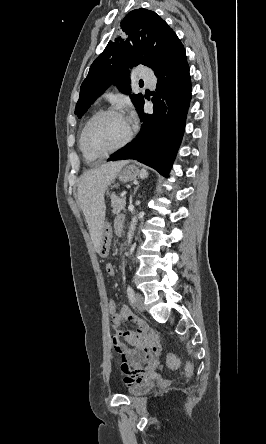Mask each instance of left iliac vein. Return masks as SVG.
Returning <instances> with one entry per match:
<instances>
[{"label": "left iliac vein", "mask_w": 266, "mask_h": 444, "mask_svg": "<svg viewBox=\"0 0 266 444\" xmlns=\"http://www.w3.org/2000/svg\"><path fill=\"white\" fill-rule=\"evenodd\" d=\"M135 306L139 311H144V299L140 293L135 294Z\"/></svg>", "instance_id": "obj_1"}]
</instances>
